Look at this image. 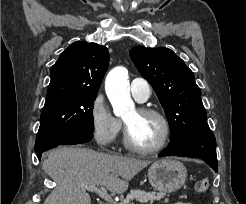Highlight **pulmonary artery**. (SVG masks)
<instances>
[{
  "instance_id": "pulmonary-artery-1",
  "label": "pulmonary artery",
  "mask_w": 246,
  "mask_h": 204,
  "mask_svg": "<svg viewBox=\"0 0 246 204\" xmlns=\"http://www.w3.org/2000/svg\"><path fill=\"white\" fill-rule=\"evenodd\" d=\"M130 91L134 99L138 102L146 101L151 94L150 85L143 78L133 79L130 84Z\"/></svg>"
}]
</instances>
